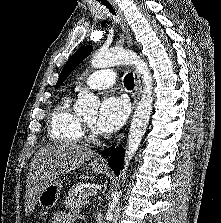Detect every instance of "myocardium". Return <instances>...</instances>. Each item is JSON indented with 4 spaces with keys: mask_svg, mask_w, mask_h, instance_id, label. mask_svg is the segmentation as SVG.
<instances>
[{
    "mask_svg": "<svg viewBox=\"0 0 221 223\" xmlns=\"http://www.w3.org/2000/svg\"><path fill=\"white\" fill-rule=\"evenodd\" d=\"M83 124V139L89 142H99L100 137L94 126L89 124L85 119L82 120Z\"/></svg>",
    "mask_w": 221,
    "mask_h": 223,
    "instance_id": "myocardium-1",
    "label": "myocardium"
}]
</instances>
